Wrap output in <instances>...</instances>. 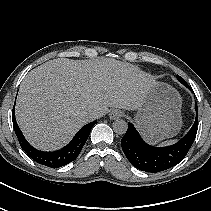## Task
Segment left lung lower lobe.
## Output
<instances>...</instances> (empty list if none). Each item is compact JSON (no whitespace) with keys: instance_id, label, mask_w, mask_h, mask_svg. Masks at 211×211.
Instances as JSON below:
<instances>
[{"instance_id":"0a47b994","label":"left lung lower lobe","mask_w":211,"mask_h":211,"mask_svg":"<svg viewBox=\"0 0 211 211\" xmlns=\"http://www.w3.org/2000/svg\"><path fill=\"white\" fill-rule=\"evenodd\" d=\"M192 90L186 82H181ZM196 104V119L190 131L179 142L168 147H153L146 144L132 123H128L126 134L121 140V147L129 162L145 172H160L180 163L191 148L196 134L198 110Z\"/></svg>"}]
</instances>
